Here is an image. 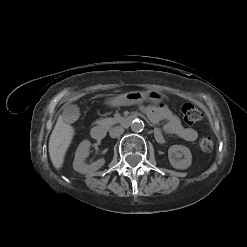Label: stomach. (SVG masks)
Segmentation results:
<instances>
[{"mask_svg":"<svg viewBox=\"0 0 247 247\" xmlns=\"http://www.w3.org/2000/svg\"><path fill=\"white\" fill-rule=\"evenodd\" d=\"M164 98L165 95L163 93L155 90H149L146 92L132 91L115 96L111 98L108 103L111 106L135 105L141 104L145 101L158 103L163 101Z\"/></svg>","mask_w":247,"mask_h":247,"instance_id":"stomach-1","label":"stomach"}]
</instances>
